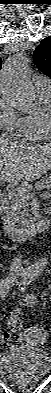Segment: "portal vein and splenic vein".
<instances>
[{
    "mask_svg": "<svg viewBox=\"0 0 51 393\" xmlns=\"http://www.w3.org/2000/svg\"><path fill=\"white\" fill-rule=\"evenodd\" d=\"M17 189L19 192L24 193L25 197H27L28 199H31L34 197V194L30 193L28 190H26L25 188L22 187H12V189ZM39 188H43V186H39Z\"/></svg>",
    "mask_w": 51,
    "mask_h": 393,
    "instance_id": "portal-vein-and-splenic-vein-1",
    "label": "portal vein and splenic vein"
}]
</instances>
